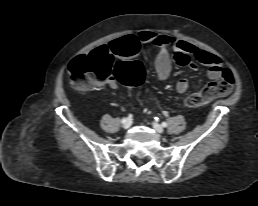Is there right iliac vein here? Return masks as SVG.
<instances>
[{
    "label": "right iliac vein",
    "instance_id": "63e3f726",
    "mask_svg": "<svg viewBox=\"0 0 258 206\" xmlns=\"http://www.w3.org/2000/svg\"><path fill=\"white\" fill-rule=\"evenodd\" d=\"M131 124H132L131 119H130V118H127V119L125 120V122L122 124V126H123L124 129H128V128H130Z\"/></svg>",
    "mask_w": 258,
    "mask_h": 206
}]
</instances>
